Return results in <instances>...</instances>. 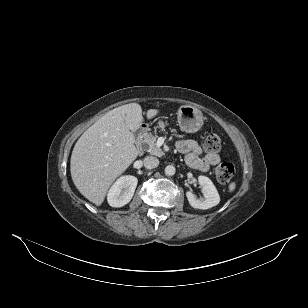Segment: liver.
Returning a JSON list of instances; mask_svg holds the SVG:
<instances>
[{"mask_svg":"<svg viewBox=\"0 0 308 308\" xmlns=\"http://www.w3.org/2000/svg\"><path fill=\"white\" fill-rule=\"evenodd\" d=\"M159 112L149 109L147 118ZM143 121L138 103L122 105L107 112L77 140L70 161L71 177L90 202L100 206L112 183L137 158L133 132Z\"/></svg>","mask_w":308,"mask_h":308,"instance_id":"obj_1","label":"liver"}]
</instances>
